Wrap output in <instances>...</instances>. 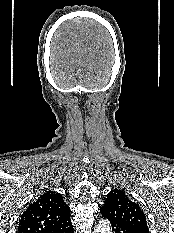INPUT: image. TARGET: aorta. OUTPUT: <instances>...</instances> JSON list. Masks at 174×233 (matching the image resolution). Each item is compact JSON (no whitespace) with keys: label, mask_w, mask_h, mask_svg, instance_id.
<instances>
[{"label":"aorta","mask_w":174,"mask_h":233,"mask_svg":"<svg viewBox=\"0 0 174 233\" xmlns=\"http://www.w3.org/2000/svg\"><path fill=\"white\" fill-rule=\"evenodd\" d=\"M94 233H111L109 222L107 221L99 222L94 229Z\"/></svg>","instance_id":"obj_1"}]
</instances>
